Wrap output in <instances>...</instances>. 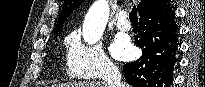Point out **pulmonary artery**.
<instances>
[{
  "mask_svg": "<svg viewBox=\"0 0 205 87\" xmlns=\"http://www.w3.org/2000/svg\"><path fill=\"white\" fill-rule=\"evenodd\" d=\"M128 15L126 11H121L118 14L117 20H116V26L118 29L122 31H129L131 29V24L127 19Z\"/></svg>",
  "mask_w": 205,
  "mask_h": 87,
  "instance_id": "e3ab8cb5",
  "label": "pulmonary artery"
}]
</instances>
